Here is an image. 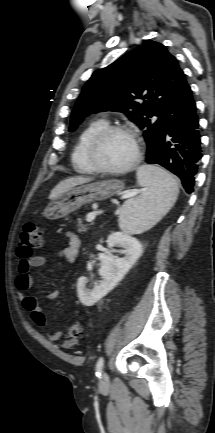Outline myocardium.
I'll return each instance as SVG.
<instances>
[{
    "label": "myocardium",
    "mask_w": 215,
    "mask_h": 433,
    "mask_svg": "<svg viewBox=\"0 0 215 433\" xmlns=\"http://www.w3.org/2000/svg\"><path fill=\"white\" fill-rule=\"evenodd\" d=\"M113 133H122L129 136L135 144V153L131 161L123 167L120 168H107L101 166L96 160V150L100 142L106 138L108 135ZM143 154V145L139 136L132 129L122 126V125H112L106 126L101 129L89 142L87 147V159L94 171L111 174L120 175L125 174L133 170L140 162Z\"/></svg>",
    "instance_id": "f54148a6"
}]
</instances>
